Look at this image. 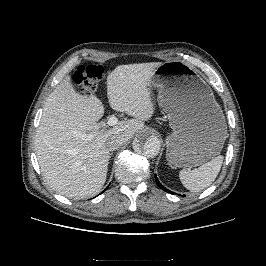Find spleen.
I'll use <instances>...</instances> for the list:
<instances>
[{
	"label": "spleen",
	"instance_id": "3e777b00",
	"mask_svg": "<svg viewBox=\"0 0 266 266\" xmlns=\"http://www.w3.org/2000/svg\"><path fill=\"white\" fill-rule=\"evenodd\" d=\"M223 159V156L219 155L193 170H181L179 173L181 183L191 192L204 190L216 179Z\"/></svg>",
	"mask_w": 266,
	"mask_h": 266
}]
</instances>
